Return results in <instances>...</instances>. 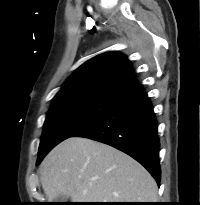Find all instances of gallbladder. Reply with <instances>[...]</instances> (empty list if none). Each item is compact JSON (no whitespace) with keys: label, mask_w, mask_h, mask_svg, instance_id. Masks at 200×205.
<instances>
[{"label":"gallbladder","mask_w":200,"mask_h":205,"mask_svg":"<svg viewBox=\"0 0 200 205\" xmlns=\"http://www.w3.org/2000/svg\"><path fill=\"white\" fill-rule=\"evenodd\" d=\"M67 196L65 195H59L56 197L55 202H66L67 201Z\"/></svg>","instance_id":"gallbladder-1"}]
</instances>
